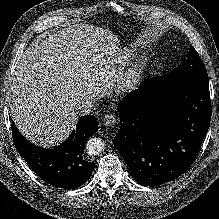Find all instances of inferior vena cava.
I'll return each mask as SVG.
<instances>
[{
    "instance_id": "inferior-vena-cava-1",
    "label": "inferior vena cava",
    "mask_w": 219,
    "mask_h": 219,
    "mask_svg": "<svg viewBox=\"0 0 219 219\" xmlns=\"http://www.w3.org/2000/svg\"><path fill=\"white\" fill-rule=\"evenodd\" d=\"M93 107H94L93 99L87 98L79 101L75 105L74 110L78 115H87L92 112Z\"/></svg>"
}]
</instances>
